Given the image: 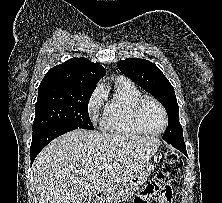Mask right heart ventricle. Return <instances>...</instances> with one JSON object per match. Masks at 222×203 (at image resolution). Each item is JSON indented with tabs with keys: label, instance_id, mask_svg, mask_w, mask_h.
<instances>
[{
	"label": "right heart ventricle",
	"instance_id": "obj_1",
	"mask_svg": "<svg viewBox=\"0 0 222 203\" xmlns=\"http://www.w3.org/2000/svg\"><path fill=\"white\" fill-rule=\"evenodd\" d=\"M141 97H143L142 92L132 82L118 78L113 93L105 105L103 129L120 135L145 134L136 125L132 115L133 105Z\"/></svg>",
	"mask_w": 222,
	"mask_h": 203
}]
</instances>
